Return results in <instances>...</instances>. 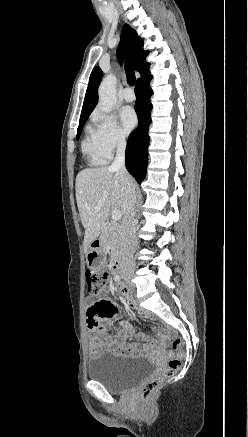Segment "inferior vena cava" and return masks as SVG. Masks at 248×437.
I'll return each instance as SVG.
<instances>
[{
    "instance_id": "1",
    "label": "inferior vena cava",
    "mask_w": 248,
    "mask_h": 437,
    "mask_svg": "<svg viewBox=\"0 0 248 437\" xmlns=\"http://www.w3.org/2000/svg\"><path fill=\"white\" fill-rule=\"evenodd\" d=\"M125 148V139H118L116 156L110 169L119 172L121 182L124 186V217L121 229L123 240L122 263L126 267H133V254L137 246V238L135 234L136 193L133 181L125 168Z\"/></svg>"
}]
</instances>
